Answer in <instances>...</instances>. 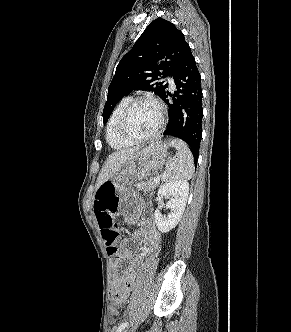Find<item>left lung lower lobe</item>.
<instances>
[{
	"instance_id": "obj_1",
	"label": "left lung lower lobe",
	"mask_w": 291,
	"mask_h": 332,
	"mask_svg": "<svg viewBox=\"0 0 291 332\" xmlns=\"http://www.w3.org/2000/svg\"><path fill=\"white\" fill-rule=\"evenodd\" d=\"M172 77L177 91L171 94L167 89L162 96L169 107V123L163 134L185 141L197 162L199 150L193 152V147L200 145L202 137V88L201 76L189 45Z\"/></svg>"
}]
</instances>
